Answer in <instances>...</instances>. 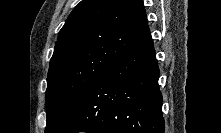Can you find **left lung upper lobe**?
Masks as SVG:
<instances>
[{
	"label": "left lung upper lobe",
	"instance_id": "1",
	"mask_svg": "<svg viewBox=\"0 0 221 133\" xmlns=\"http://www.w3.org/2000/svg\"><path fill=\"white\" fill-rule=\"evenodd\" d=\"M149 32L141 0H82L50 60L45 133H56L96 77Z\"/></svg>",
	"mask_w": 221,
	"mask_h": 133
}]
</instances>
